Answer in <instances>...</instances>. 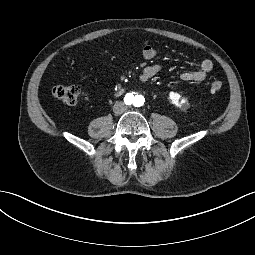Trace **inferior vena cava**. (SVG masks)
<instances>
[{"label":"inferior vena cava","mask_w":255,"mask_h":255,"mask_svg":"<svg viewBox=\"0 0 255 255\" xmlns=\"http://www.w3.org/2000/svg\"><path fill=\"white\" fill-rule=\"evenodd\" d=\"M127 107L122 103L118 102L114 105V112L116 114H122L126 111Z\"/></svg>","instance_id":"obj_1"}]
</instances>
